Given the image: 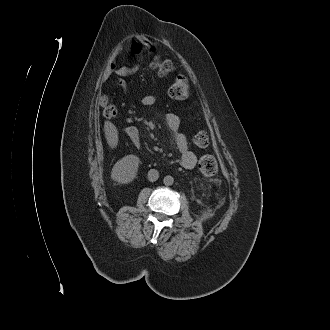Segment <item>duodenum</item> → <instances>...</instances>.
Wrapping results in <instances>:
<instances>
[{
    "mask_svg": "<svg viewBox=\"0 0 330 330\" xmlns=\"http://www.w3.org/2000/svg\"><path fill=\"white\" fill-rule=\"evenodd\" d=\"M129 135H130L134 140H137V139H138V133H137V131H135V130H131V131L129 132Z\"/></svg>",
    "mask_w": 330,
    "mask_h": 330,
    "instance_id": "1",
    "label": "duodenum"
}]
</instances>
